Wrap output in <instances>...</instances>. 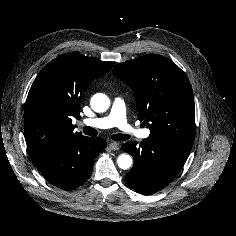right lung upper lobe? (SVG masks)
<instances>
[{
    "instance_id": "1",
    "label": "right lung upper lobe",
    "mask_w": 236,
    "mask_h": 236,
    "mask_svg": "<svg viewBox=\"0 0 236 236\" xmlns=\"http://www.w3.org/2000/svg\"><path fill=\"white\" fill-rule=\"evenodd\" d=\"M79 54H63L49 62L34 80L25 105L24 135L30 158L65 141L83 138L74 132L83 91L113 66Z\"/></svg>"
}]
</instances>
